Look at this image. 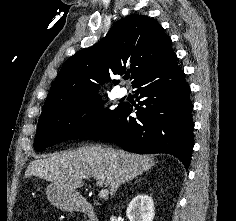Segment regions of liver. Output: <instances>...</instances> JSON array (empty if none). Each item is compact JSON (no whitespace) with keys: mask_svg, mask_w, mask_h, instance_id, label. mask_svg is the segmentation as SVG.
Here are the masks:
<instances>
[{"mask_svg":"<svg viewBox=\"0 0 236 221\" xmlns=\"http://www.w3.org/2000/svg\"><path fill=\"white\" fill-rule=\"evenodd\" d=\"M155 165L151 156L133 154L102 146H84L32 161L25 177L37 176L70 191L83 186L84 178L94 177L96 185L110 194Z\"/></svg>","mask_w":236,"mask_h":221,"instance_id":"obj_1","label":"liver"}]
</instances>
